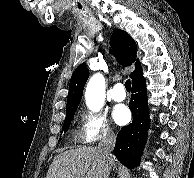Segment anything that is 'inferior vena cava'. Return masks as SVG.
I'll return each instance as SVG.
<instances>
[{
  "label": "inferior vena cava",
  "instance_id": "inferior-vena-cava-1",
  "mask_svg": "<svg viewBox=\"0 0 194 178\" xmlns=\"http://www.w3.org/2000/svg\"><path fill=\"white\" fill-rule=\"evenodd\" d=\"M116 135L112 130H108L101 142L99 143L98 149L105 162V171L103 178H109L110 169L112 166V150L115 146Z\"/></svg>",
  "mask_w": 194,
  "mask_h": 178
}]
</instances>
